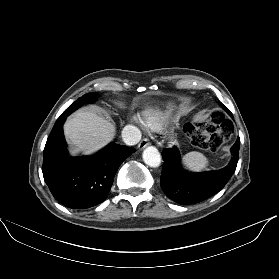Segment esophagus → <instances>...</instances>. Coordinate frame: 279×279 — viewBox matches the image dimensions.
I'll list each match as a JSON object with an SVG mask.
<instances>
[{
  "label": "esophagus",
  "mask_w": 279,
  "mask_h": 279,
  "mask_svg": "<svg viewBox=\"0 0 279 279\" xmlns=\"http://www.w3.org/2000/svg\"><path fill=\"white\" fill-rule=\"evenodd\" d=\"M148 145H150V142H149V140L148 139H143L140 143H139V145H138V148L140 149V150H142V149H144L145 147H147Z\"/></svg>",
  "instance_id": "1"
}]
</instances>
